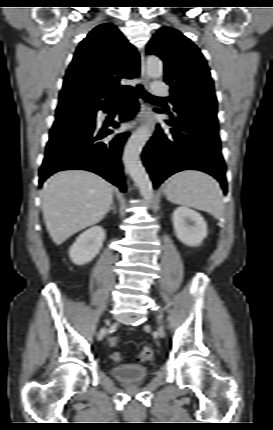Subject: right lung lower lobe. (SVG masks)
<instances>
[{
    "instance_id": "right-lung-lower-lobe-1",
    "label": "right lung lower lobe",
    "mask_w": 273,
    "mask_h": 430,
    "mask_svg": "<svg viewBox=\"0 0 273 430\" xmlns=\"http://www.w3.org/2000/svg\"><path fill=\"white\" fill-rule=\"evenodd\" d=\"M129 100L120 112V119H131L138 111L135 88L128 90ZM113 101L93 107L94 114L98 110L107 111ZM114 122L113 127H118ZM113 131L106 126L99 128L94 124L84 130L59 136L49 140L45 158L39 172V185L57 171L83 169L94 172L125 191L121 152L128 133L117 135L110 141H100Z\"/></svg>"
}]
</instances>
